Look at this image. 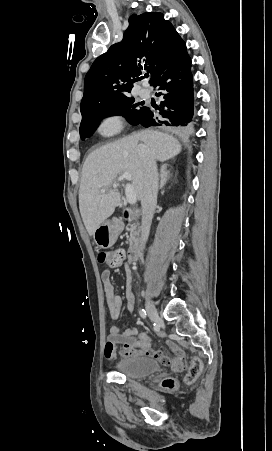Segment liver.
Instances as JSON below:
<instances>
[{
    "instance_id": "obj_1",
    "label": "liver",
    "mask_w": 272,
    "mask_h": 451,
    "mask_svg": "<svg viewBox=\"0 0 272 451\" xmlns=\"http://www.w3.org/2000/svg\"><path fill=\"white\" fill-rule=\"evenodd\" d=\"M138 142H144L154 160L159 162H166L181 152L176 138L155 130L133 132L91 152L83 164L79 188V210L89 235L112 216L121 202L120 192L108 190L118 174L130 172L134 192L141 200L145 168ZM102 188H106V194H101Z\"/></svg>"
}]
</instances>
